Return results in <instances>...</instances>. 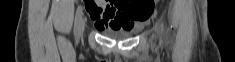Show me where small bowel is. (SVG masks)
<instances>
[{"label":"small bowel","mask_w":235,"mask_h":62,"mask_svg":"<svg viewBox=\"0 0 235 62\" xmlns=\"http://www.w3.org/2000/svg\"><path fill=\"white\" fill-rule=\"evenodd\" d=\"M127 1H100L87 7L90 18L99 31L125 30L129 31L138 21L126 14Z\"/></svg>","instance_id":"obj_1"}]
</instances>
